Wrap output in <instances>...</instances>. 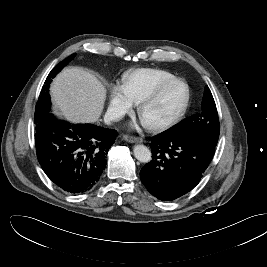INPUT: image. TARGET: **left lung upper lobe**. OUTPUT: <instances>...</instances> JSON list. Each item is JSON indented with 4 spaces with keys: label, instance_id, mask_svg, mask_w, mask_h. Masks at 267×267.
Segmentation results:
<instances>
[{
    "label": "left lung upper lobe",
    "instance_id": "left-lung-upper-lobe-1",
    "mask_svg": "<svg viewBox=\"0 0 267 267\" xmlns=\"http://www.w3.org/2000/svg\"><path fill=\"white\" fill-rule=\"evenodd\" d=\"M167 132L171 135L185 133L197 134L207 140L211 145H217L219 138V119L215 101L208 86H205L204 89L200 113L186 118Z\"/></svg>",
    "mask_w": 267,
    "mask_h": 267
}]
</instances>
